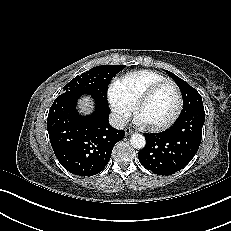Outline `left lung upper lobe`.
Returning a JSON list of instances; mask_svg holds the SVG:
<instances>
[{
  "mask_svg": "<svg viewBox=\"0 0 231 231\" xmlns=\"http://www.w3.org/2000/svg\"><path fill=\"white\" fill-rule=\"evenodd\" d=\"M166 72L176 82L183 95V109L181 111V115L175 121L174 125L170 129L166 130L168 134H173L177 130H180L179 122L183 115H185L191 110L204 108V107H203L201 95L198 93L196 89L191 87L186 81L182 80L172 72L169 71Z\"/></svg>",
  "mask_w": 231,
  "mask_h": 231,
  "instance_id": "left-lung-upper-lobe-1",
  "label": "left lung upper lobe"
}]
</instances>
